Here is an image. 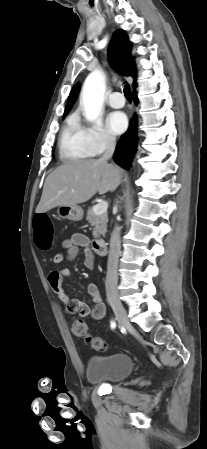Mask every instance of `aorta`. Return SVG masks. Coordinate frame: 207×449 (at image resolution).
Returning <instances> with one entry per match:
<instances>
[{
    "label": "aorta",
    "mask_w": 207,
    "mask_h": 449,
    "mask_svg": "<svg viewBox=\"0 0 207 449\" xmlns=\"http://www.w3.org/2000/svg\"><path fill=\"white\" fill-rule=\"evenodd\" d=\"M104 93V76L100 71H93L86 78L81 93L87 121L97 122L103 106Z\"/></svg>",
    "instance_id": "1"
}]
</instances>
